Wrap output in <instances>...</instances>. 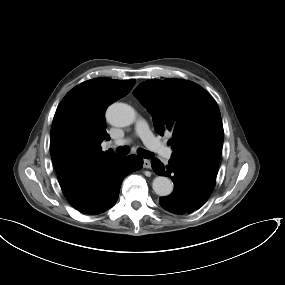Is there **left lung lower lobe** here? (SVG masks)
I'll list each match as a JSON object with an SVG mask.
<instances>
[{"instance_id": "obj_1", "label": "left lung lower lobe", "mask_w": 285, "mask_h": 285, "mask_svg": "<svg viewBox=\"0 0 285 285\" xmlns=\"http://www.w3.org/2000/svg\"><path fill=\"white\" fill-rule=\"evenodd\" d=\"M151 165L157 175L168 176L174 183V191L159 200L171 213L187 214L199 209L215 187L217 170L202 164L171 158L166 166L159 159H153Z\"/></svg>"}]
</instances>
